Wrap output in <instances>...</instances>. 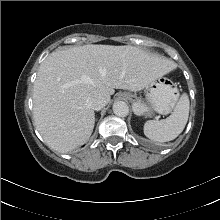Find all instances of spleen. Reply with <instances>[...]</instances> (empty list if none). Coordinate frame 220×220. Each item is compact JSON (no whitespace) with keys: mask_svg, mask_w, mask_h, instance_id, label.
Listing matches in <instances>:
<instances>
[{"mask_svg":"<svg viewBox=\"0 0 220 220\" xmlns=\"http://www.w3.org/2000/svg\"><path fill=\"white\" fill-rule=\"evenodd\" d=\"M189 98L183 93L173 113L162 120H149L144 124V134L155 142L174 140L184 130L189 117Z\"/></svg>","mask_w":220,"mask_h":220,"instance_id":"spleen-1","label":"spleen"}]
</instances>
